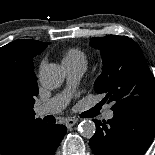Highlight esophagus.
Listing matches in <instances>:
<instances>
[{
  "label": "esophagus",
  "instance_id": "1",
  "mask_svg": "<svg viewBox=\"0 0 155 155\" xmlns=\"http://www.w3.org/2000/svg\"><path fill=\"white\" fill-rule=\"evenodd\" d=\"M76 122H77L76 119L69 118V119L66 120L65 125L67 127H71V126L75 125Z\"/></svg>",
  "mask_w": 155,
  "mask_h": 155
}]
</instances>
